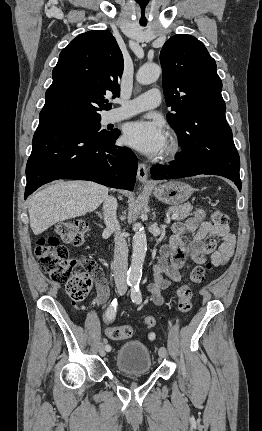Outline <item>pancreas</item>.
Instances as JSON below:
<instances>
[{
	"instance_id": "cf45deb5",
	"label": "pancreas",
	"mask_w": 262,
	"mask_h": 431,
	"mask_svg": "<svg viewBox=\"0 0 262 431\" xmlns=\"http://www.w3.org/2000/svg\"><path fill=\"white\" fill-rule=\"evenodd\" d=\"M190 209L191 208L187 205L174 206V207H170L168 212L173 214H178L179 217L177 218V220H183L189 215Z\"/></svg>"
}]
</instances>
